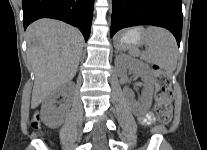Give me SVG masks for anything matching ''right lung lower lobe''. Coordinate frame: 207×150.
I'll return each mask as SVG.
<instances>
[{
    "label": "right lung lower lobe",
    "instance_id": "98d812e1",
    "mask_svg": "<svg viewBox=\"0 0 207 150\" xmlns=\"http://www.w3.org/2000/svg\"><path fill=\"white\" fill-rule=\"evenodd\" d=\"M94 0H23L24 29L40 18L59 19L90 35Z\"/></svg>",
    "mask_w": 207,
    "mask_h": 150
}]
</instances>
